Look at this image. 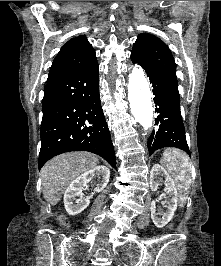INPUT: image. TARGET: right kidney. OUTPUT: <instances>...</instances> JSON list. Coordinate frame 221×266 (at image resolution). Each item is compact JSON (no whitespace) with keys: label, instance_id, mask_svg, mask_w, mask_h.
Returning <instances> with one entry per match:
<instances>
[{"label":"right kidney","instance_id":"obj_1","mask_svg":"<svg viewBox=\"0 0 221 266\" xmlns=\"http://www.w3.org/2000/svg\"><path fill=\"white\" fill-rule=\"evenodd\" d=\"M97 178V184L90 195L84 196L82 190L88 187V183ZM110 178V170L103 165L94 167L93 169L83 173L77 177L67 187L64 193V206L70 215H77L86 209L90 203V199L95 192H101L108 184ZM76 197H80L77 199Z\"/></svg>","mask_w":221,"mask_h":266}]
</instances>
